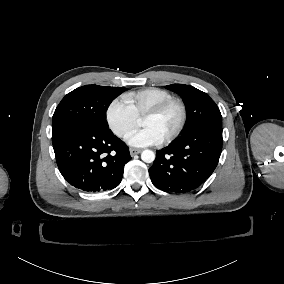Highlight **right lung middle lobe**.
Listing matches in <instances>:
<instances>
[{
    "instance_id": "obj_1",
    "label": "right lung middle lobe",
    "mask_w": 284,
    "mask_h": 284,
    "mask_svg": "<svg viewBox=\"0 0 284 284\" xmlns=\"http://www.w3.org/2000/svg\"><path fill=\"white\" fill-rule=\"evenodd\" d=\"M124 91V87L85 85L68 93L54 112L52 137L72 126L109 129L106 111Z\"/></svg>"
}]
</instances>
